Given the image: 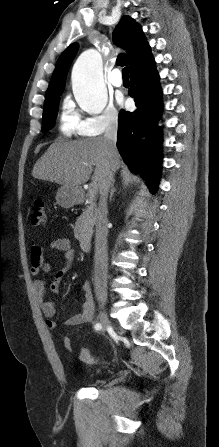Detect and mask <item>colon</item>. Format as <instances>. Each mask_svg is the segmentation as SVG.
Wrapping results in <instances>:
<instances>
[{
    "instance_id": "colon-1",
    "label": "colon",
    "mask_w": 219,
    "mask_h": 447,
    "mask_svg": "<svg viewBox=\"0 0 219 447\" xmlns=\"http://www.w3.org/2000/svg\"><path fill=\"white\" fill-rule=\"evenodd\" d=\"M46 210L45 202L42 199H35L30 207V222L33 226L43 225L46 222ZM66 349L71 350L72 345L67 341ZM83 358L85 362L94 363L96 358L92 356L87 350L83 353Z\"/></svg>"
}]
</instances>
